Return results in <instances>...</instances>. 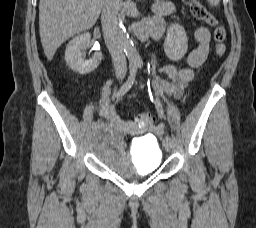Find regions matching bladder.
Segmentation results:
<instances>
[{
  "label": "bladder",
  "instance_id": "obj_1",
  "mask_svg": "<svg viewBox=\"0 0 256 228\" xmlns=\"http://www.w3.org/2000/svg\"><path fill=\"white\" fill-rule=\"evenodd\" d=\"M89 147L110 171L123 179L150 175L162 161V151L155 139H139L133 145V152L126 153L123 134L106 126L95 130Z\"/></svg>",
  "mask_w": 256,
  "mask_h": 228
}]
</instances>
